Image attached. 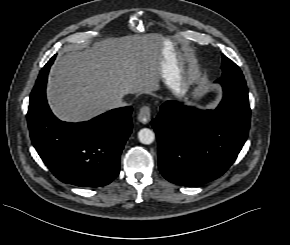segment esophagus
I'll return each instance as SVG.
<instances>
[{
  "label": "esophagus",
  "mask_w": 290,
  "mask_h": 245,
  "mask_svg": "<svg viewBox=\"0 0 290 245\" xmlns=\"http://www.w3.org/2000/svg\"><path fill=\"white\" fill-rule=\"evenodd\" d=\"M150 118H151V108L148 105H144L139 110L137 119L141 123L146 124V123H148L150 121Z\"/></svg>",
  "instance_id": "1"
}]
</instances>
